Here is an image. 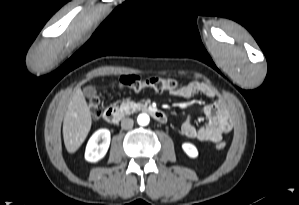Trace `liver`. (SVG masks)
<instances>
[{"instance_id": "obj_1", "label": "liver", "mask_w": 299, "mask_h": 205, "mask_svg": "<svg viewBox=\"0 0 299 205\" xmlns=\"http://www.w3.org/2000/svg\"><path fill=\"white\" fill-rule=\"evenodd\" d=\"M92 124L91 112L81 89H76L70 98L63 120L64 144L69 153H74L86 139Z\"/></svg>"}]
</instances>
